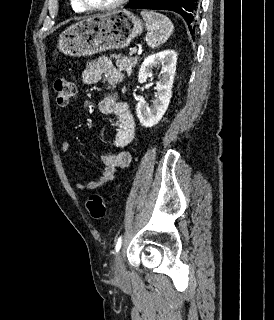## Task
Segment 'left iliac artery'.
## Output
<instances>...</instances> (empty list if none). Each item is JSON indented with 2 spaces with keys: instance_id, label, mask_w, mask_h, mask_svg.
I'll use <instances>...</instances> for the list:
<instances>
[{
  "instance_id": "44dca946",
  "label": "left iliac artery",
  "mask_w": 274,
  "mask_h": 320,
  "mask_svg": "<svg viewBox=\"0 0 274 320\" xmlns=\"http://www.w3.org/2000/svg\"><path fill=\"white\" fill-rule=\"evenodd\" d=\"M121 244H122V236H120V237L118 238V241H117V243H116V246H115V251H116V252H118V251L120 250Z\"/></svg>"
}]
</instances>
